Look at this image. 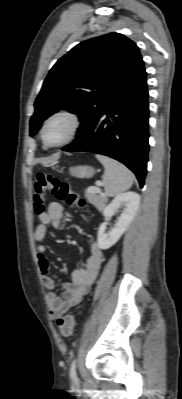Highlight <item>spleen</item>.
<instances>
[{
    "label": "spleen",
    "mask_w": 182,
    "mask_h": 399,
    "mask_svg": "<svg viewBox=\"0 0 182 399\" xmlns=\"http://www.w3.org/2000/svg\"><path fill=\"white\" fill-rule=\"evenodd\" d=\"M96 158L105 168L102 179L108 196H117L132 186L134 176L126 166L103 155H96Z\"/></svg>",
    "instance_id": "3e777b00"
}]
</instances>
